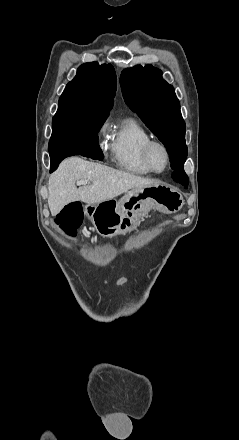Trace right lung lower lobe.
<instances>
[{"instance_id":"obj_1","label":"right lung lower lobe","mask_w":239,"mask_h":440,"mask_svg":"<svg viewBox=\"0 0 239 440\" xmlns=\"http://www.w3.org/2000/svg\"><path fill=\"white\" fill-rule=\"evenodd\" d=\"M72 155H82L90 157L92 159L102 160L104 158L103 153L99 147V144H88L84 146L75 147L71 150L55 153L50 155L51 171L55 170L59 163L66 157Z\"/></svg>"}]
</instances>
